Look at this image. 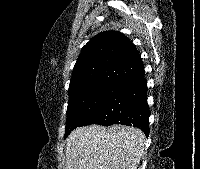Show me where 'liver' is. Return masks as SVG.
<instances>
[{
	"instance_id": "6515ba94",
	"label": "liver",
	"mask_w": 200,
	"mask_h": 169,
	"mask_svg": "<svg viewBox=\"0 0 200 169\" xmlns=\"http://www.w3.org/2000/svg\"><path fill=\"white\" fill-rule=\"evenodd\" d=\"M144 133L134 127H77L66 139L64 169H137Z\"/></svg>"
}]
</instances>
